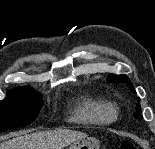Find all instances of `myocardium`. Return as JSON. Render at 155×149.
<instances>
[{
	"instance_id": "obj_1",
	"label": "myocardium",
	"mask_w": 155,
	"mask_h": 149,
	"mask_svg": "<svg viewBox=\"0 0 155 149\" xmlns=\"http://www.w3.org/2000/svg\"><path fill=\"white\" fill-rule=\"evenodd\" d=\"M109 106H110L111 110H112L115 114H117V112H118V106H117V104H116V103H109Z\"/></svg>"
}]
</instances>
